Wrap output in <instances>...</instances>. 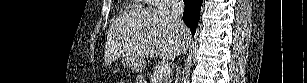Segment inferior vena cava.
<instances>
[{
  "label": "inferior vena cava",
  "instance_id": "1",
  "mask_svg": "<svg viewBox=\"0 0 307 83\" xmlns=\"http://www.w3.org/2000/svg\"><path fill=\"white\" fill-rule=\"evenodd\" d=\"M183 12H184V1L171 0V14L182 28L184 27V22L182 21Z\"/></svg>",
  "mask_w": 307,
  "mask_h": 83
}]
</instances>
